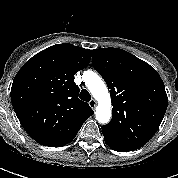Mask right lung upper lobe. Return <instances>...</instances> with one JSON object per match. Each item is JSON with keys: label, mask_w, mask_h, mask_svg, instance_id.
Wrapping results in <instances>:
<instances>
[{"label": "right lung upper lobe", "mask_w": 178, "mask_h": 178, "mask_svg": "<svg viewBox=\"0 0 178 178\" xmlns=\"http://www.w3.org/2000/svg\"><path fill=\"white\" fill-rule=\"evenodd\" d=\"M91 51L72 44L53 45L29 59L11 88L14 111L26 132L38 143L62 147L94 114L78 99L74 75L86 68Z\"/></svg>", "instance_id": "cb5924a9"}]
</instances>
